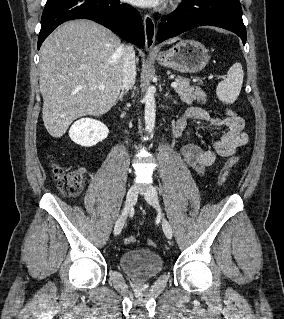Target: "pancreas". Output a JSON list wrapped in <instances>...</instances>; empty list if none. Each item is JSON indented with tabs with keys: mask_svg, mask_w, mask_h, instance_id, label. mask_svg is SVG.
<instances>
[{
	"mask_svg": "<svg viewBox=\"0 0 284 319\" xmlns=\"http://www.w3.org/2000/svg\"><path fill=\"white\" fill-rule=\"evenodd\" d=\"M176 82H178V87L176 92L180 95L183 102L191 104L193 101L198 103H206V95L198 86H190V81L184 77H177Z\"/></svg>",
	"mask_w": 284,
	"mask_h": 319,
	"instance_id": "1",
	"label": "pancreas"
}]
</instances>
